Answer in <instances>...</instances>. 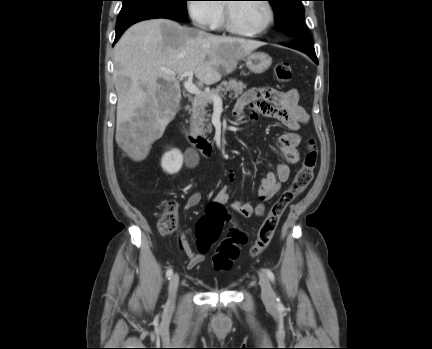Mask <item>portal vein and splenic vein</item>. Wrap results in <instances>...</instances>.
<instances>
[{
  "label": "portal vein and splenic vein",
  "instance_id": "18ae733b",
  "mask_svg": "<svg viewBox=\"0 0 432 349\" xmlns=\"http://www.w3.org/2000/svg\"><path fill=\"white\" fill-rule=\"evenodd\" d=\"M164 71L170 75L175 77L177 74L174 71L164 69ZM193 71L186 72L184 74H179V76H185L187 79L184 81V87L185 89L195 95L202 94L201 90L193 83ZM210 98L212 99L214 104L221 105L222 104V98L219 95H210Z\"/></svg>",
  "mask_w": 432,
  "mask_h": 349
}]
</instances>
